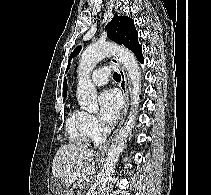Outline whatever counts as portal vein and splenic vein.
I'll list each match as a JSON object with an SVG mask.
<instances>
[{"label": "portal vein and splenic vein", "instance_id": "portal-vein-and-splenic-vein-1", "mask_svg": "<svg viewBox=\"0 0 211 195\" xmlns=\"http://www.w3.org/2000/svg\"><path fill=\"white\" fill-rule=\"evenodd\" d=\"M80 174L79 173H75L72 180L70 182H73L74 180H76V178L79 176Z\"/></svg>", "mask_w": 211, "mask_h": 195}]
</instances>
